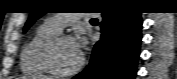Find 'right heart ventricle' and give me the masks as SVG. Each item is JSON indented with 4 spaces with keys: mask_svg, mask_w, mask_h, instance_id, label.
Instances as JSON below:
<instances>
[{
    "mask_svg": "<svg viewBox=\"0 0 177 79\" xmlns=\"http://www.w3.org/2000/svg\"><path fill=\"white\" fill-rule=\"evenodd\" d=\"M59 31L46 22L40 25L24 45L20 58L21 70L30 75H47L48 71L42 65L39 57L40 49L49 39L57 36Z\"/></svg>",
    "mask_w": 177,
    "mask_h": 79,
    "instance_id": "1",
    "label": "right heart ventricle"
}]
</instances>
